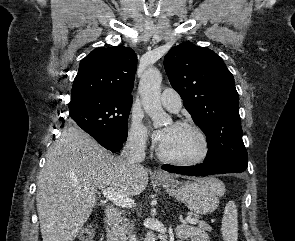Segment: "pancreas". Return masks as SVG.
I'll list each match as a JSON object with an SVG mask.
<instances>
[{
  "label": "pancreas",
  "instance_id": "1",
  "mask_svg": "<svg viewBox=\"0 0 295 241\" xmlns=\"http://www.w3.org/2000/svg\"><path fill=\"white\" fill-rule=\"evenodd\" d=\"M197 220V223H198V228L201 229V230H206V231H211V227L204 221H198L197 218H195ZM128 223H127V220L126 219H119L118 221H116V231L122 235V236H125V234L127 233L128 231Z\"/></svg>",
  "mask_w": 295,
  "mask_h": 241
}]
</instances>
